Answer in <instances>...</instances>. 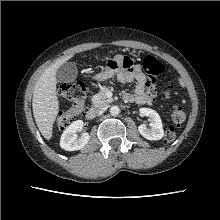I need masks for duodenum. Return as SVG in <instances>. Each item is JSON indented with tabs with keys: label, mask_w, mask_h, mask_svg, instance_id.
<instances>
[{
	"label": "duodenum",
	"mask_w": 220,
	"mask_h": 220,
	"mask_svg": "<svg viewBox=\"0 0 220 220\" xmlns=\"http://www.w3.org/2000/svg\"><path fill=\"white\" fill-rule=\"evenodd\" d=\"M98 110L95 107H92L89 109V111L87 112L86 118L88 120H94L97 116Z\"/></svg>",
	"instance_id": "410a0bca"
}]
</instances>
